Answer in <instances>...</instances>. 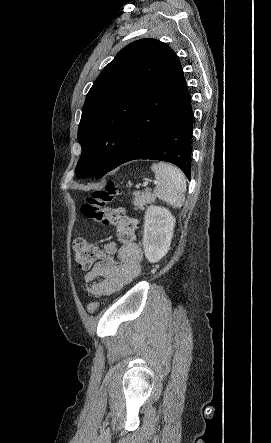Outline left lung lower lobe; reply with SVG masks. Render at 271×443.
Instances as JSON below:
<instances>
[{
  "instance_id": "0a47b994",
  "label": "left lung lower lobe",
  "mask_w": 271,
  "mask_h": 443,
  "mask_svg": "<svg viewBox=\"0 0 271 443\" xmlns=\"http://www.w3.org/2000/svg\"><path fill=\"white\" fill-rule=\"evenodd\" d=\"M193 111L176 55L161 70L135 112L109 171L135 159L178 166L190 180Z\"/></svg>"
}]
</instances>
